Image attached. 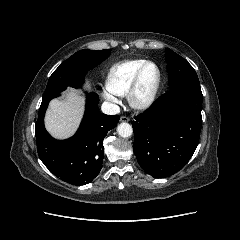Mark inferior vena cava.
Listing matches in <instances>:
<instances>
[{"label":"inferior vena cava","instance_id":"602c4592","mask_svg":"<svg viewBox=\"0 0 240 240\" xmlns=\"http://www.w3.org/2000/svg\"><path fill=\"white\" fill-rule=\"evenodd\" d=\"M101 110L103 113L108 115H115L120 112V107L111 102H104L101 106Z\"/></svg>","mask_w":240,"mask_h":240}]
</instances>
